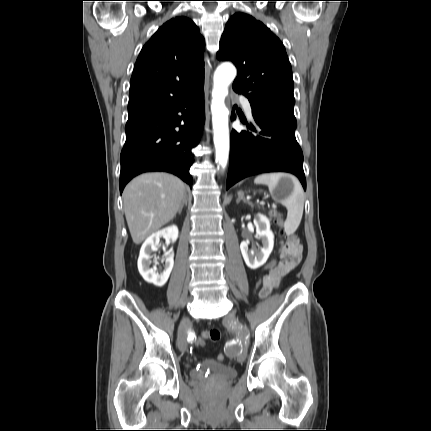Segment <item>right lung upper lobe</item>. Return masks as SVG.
<instances>
[{"label": "right lung upper lobe", "instance_id": "cb5924a9", "mask_svg": "<svg viewBox=\"0 0 431 431\" xmlns=\"http://www.w3.org/2000/svg\"><path fill=\"white\" fill-rule=\"evenodd\" d=\"M204 38L188 18L161 26L142 48L131 77L128 118L177 104L204 84Z\"/></svg>", "mask_w": 431, "mask_h": 431}]
</instances>
